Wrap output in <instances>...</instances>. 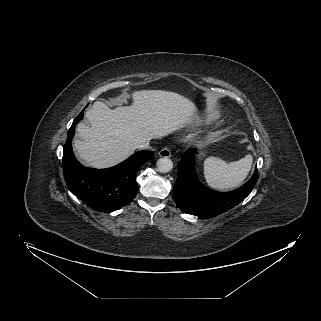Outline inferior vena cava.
<instances>
[{
    "instance_id": "602c4592",
    "label": "inferior vena cava",
    "mask_w": 321,
    "mask_h": 321,
    "mask_svg": "<svg viewBox=\"0 0 321 321\" xmlns=\"http://www.w3.org/2000/svg\"><path fill=\"white\" fill-rule=\"evenodd\" d=\"M136 148H138V149H151V147L149 146V141L138 144L136 146Z\"/></svg>"
}]
</instances>
